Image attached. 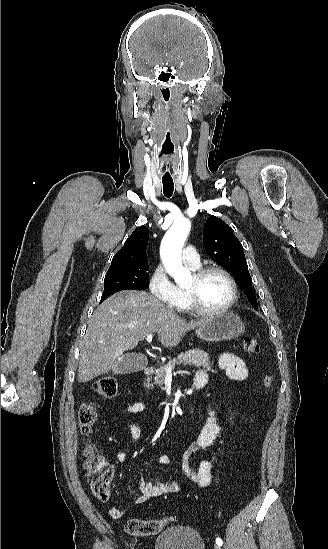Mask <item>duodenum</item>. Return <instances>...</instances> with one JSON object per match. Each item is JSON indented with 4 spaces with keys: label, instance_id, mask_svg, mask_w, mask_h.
<instances>
[{
    "label": "duodenum",
    "instance_id": "duodenum-1",
    "mask_svg": "<svg viewBox=\"0 0 328 549\" xmlns=\"http://www.w3.org/2000/svg\"><path fill=\"white\" fill-rule=\"evenodd\" d=\"M155 369L152 366H147L144 368V374L146 376H150L154 373ZM206 384V377L205 376H197L194 379L193 388L200 389Z\"/></svg>",
    "mask_w": 328,
    "mask_h": 549
}]
</instances>
